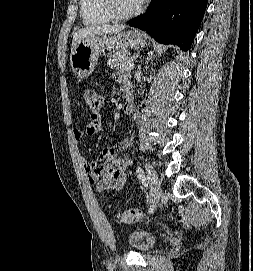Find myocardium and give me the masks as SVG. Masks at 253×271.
Wrapping results in <instances>:
<instances>
[{
	"instance_id": "1",
	"label": "myocardium",
	"mask_w": 253,
	"mask_h": 271,
	"mask_svg": "<svg viewBox=\"0 0 253 271\" xmlns=\"http://www.w3.org/2000/svg\"><path fill=\"white\" fill-rule=\"evenodd\" d=\"M105 7L110 15L117 20H125L139 15L145 7V2H141L135 9L124 12L119 6V0H104Z\"/></svg>"
}]
</instances>
